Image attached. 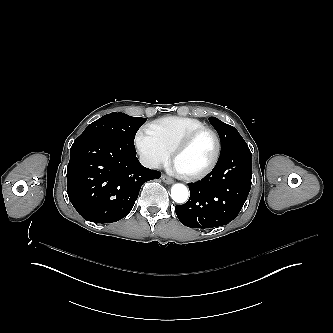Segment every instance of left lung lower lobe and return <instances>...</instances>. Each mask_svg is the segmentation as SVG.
Masks as SVG:
<instances>
[{
    "label": "left lung lower lobe",
    "mask_w": 333,
    "mask_h": 333,
    "mask_svg": "<svg viewBox=\"0 0 333 333\" xmlns=\"http://www.w3.org/2000/svg\"><path fill=\"white\" fill-rule=\"evenodd\" d=\"M252 154L248 146L220 157L214 169L190 183V198L175 206L180 222L193 228L228 224L242 209L251 188Z\"/></svg>",
    "instance_id": "left-lung-lower-lobe-1"
}]
</instances>
